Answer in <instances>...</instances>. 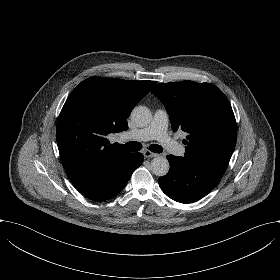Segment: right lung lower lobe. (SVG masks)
<instances>
[{"label":"right lung lower lobe","mask_w":280,"mask_h":280,"mask_svg":"<svg viewBox=\"0 0 280 280\" xmlns=\"http://www.w3.org/2000/svg\"><path fill=\"white\" fill-rule=\"evenodd\" d=\"M142 153H132L131 158L110 171L97 186V189L87 198L95 201H105L115 197L126 186L133 171L143 162Z\"/></svg>","instance_id":"obj_1"}]
</instances>
